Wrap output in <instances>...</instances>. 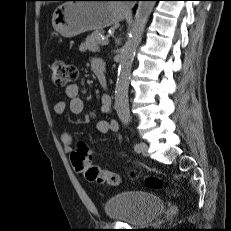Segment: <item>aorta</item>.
<instances>
[{
	"mask_svg": "<svg viewBox=\"0 0 231 231\" xmlns=\"http://www.w3.org/2000/svg\"><path fill=\"white\" fill-rule=\"evenodd\" d=\"M154 5L155 1L139 2L129 37L120 52V62L115 88V109L119 119L124 123L130 121L128 90L135 51Z\"/></svg>",
	"mask_w": 231,
	"mask_h": 231,
	"instance_id": "1",
	"label": "aorta"
}]
</instances>
